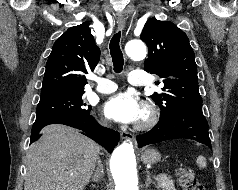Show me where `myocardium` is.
I'll return each instance as SVG.
<instances>
[{"label": "myocardium", "mask_w": 238, "mask_h": 190, "mask_svg": "<svg viewBox=\"0 0 238 190\" xmlns=\"http://www.w3.org/2000/svg\"><path fill=\"white\" fill-rule=\"evenodd\" d=\"M158 121V112L156 108L149 102H143L141 106V116L135 124L137 130H148L152 128Z\"/></svg>", "instance_id": "f54148a6"}]
</instances>
